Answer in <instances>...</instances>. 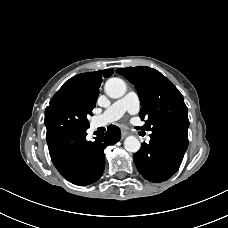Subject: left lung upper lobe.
I'll return each mask as SVG.
<instances>
[{
  "label": "left lung upper lobe",
  "mask_w": 228,
  "mask_h": 228,
  "mask_svg": "<svg viewBox=\"0 0 228 228\" xmlns=\"http://www.w3.org/2000/svg\"><path fill=\"white\" fill-rule=\"evenodd\" d=\"M136 88L142 108L143 129L160 128L188 130V110L179 90L159 71L146 67H128L116 70Z\"/></svg>",
  "instance_id": "obj_1"
}]
</instances>
